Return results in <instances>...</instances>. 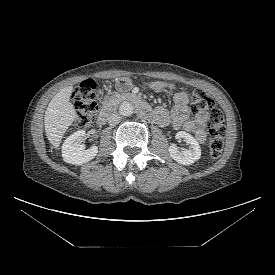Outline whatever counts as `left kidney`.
<instances>
[{
  "instance_id": "1",
  "label": "left kidney",
  "mask_w": 275,
  "mask_h": 275,
  "mask_svg": "<svg viewBox=\"0 0 275 275\" xmlns=\"http://www.w3.org/2000/svg\"><path fill=\"white\" fill-rule=\"evenodd\" d=\"M176 139H184L189 148L187 150H179L175 144H171L168 151L171 157L182 165H191L201 157V149L198 141L189 133L180 131L176 133Z\"/></svg>"
}]
</instances>
